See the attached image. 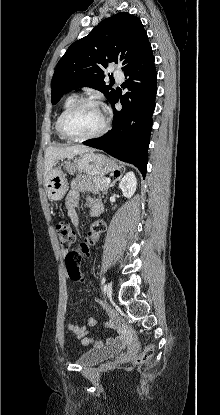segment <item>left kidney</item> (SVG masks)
Masks as SVG:
<instances>
[{
  "instance_id": "1",
  "label": "left kidney",
  "mask_w": 220,
  "mask_h": 415,
  "mask_svg": "<svg viewBox=\"0 0 220 415\" xmlns=\"http://www.w3.org/2000/svg\"><path fill=\"white\" fill-rule=\"evenodd\" d=\"M137 180L134 172L130 171L125 174L119 183V188L122 190L126 198H131L136 191Z\"/></svg>"
}]
</instances>
